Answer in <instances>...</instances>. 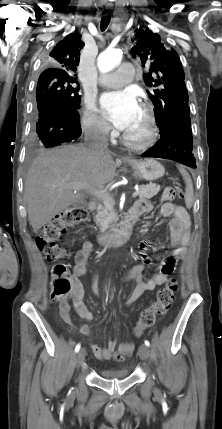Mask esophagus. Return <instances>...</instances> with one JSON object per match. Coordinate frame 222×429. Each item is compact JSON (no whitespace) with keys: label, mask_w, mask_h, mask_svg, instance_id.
Returning <instances> with one entry per match:
<instances>
[{"label":"esophagus","mask_w":222,"mask_h":429,"mask_svg":"<svg viewBox=\"0 0 222 429\" xmlns=\"http://www.w3.org/2000/svg\"><path fill=\"white\" fill-rule=\"evenodd\" d=\"M123 158H129L128 156H124Z\"/></svg>","instance_id":"34e87169"}]
</instances>
